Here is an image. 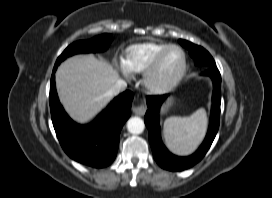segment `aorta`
I'll return each instance as SVG.
<instances>
[{"instance_id": "762f6f07", "label": "aorta", "mask_w": 272, "mask_h": 198, "mask_svg": "<svg viewBox=\"0 0 272 198\" xmlns=\"http://www.w3.org/2000/svg\"><path fill=\"white\" fill-rule=\"evenodd\" d=\"M145 124L139 117H132L127 122V129L132 134H140L143 132Z\"/></svg>"}]
</instances>
